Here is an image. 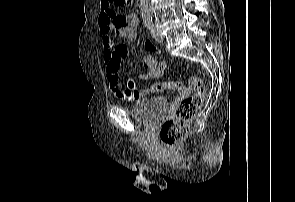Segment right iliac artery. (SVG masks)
<instances>
[{
  "label": "right iliac artery",
  "mask_w": 295,
  "mask_h": 202,
  "mask_svg": "<svg viewBox=\"0 0 295 202\" xmlns=\"http://www.w3.org/2000/svg\"><path fill=\"white\" fill-rule=\"evenodd\" d=\"M145 26L150 30L151 29V24L149 22L145 23Z\"/></svg>",
  "instance_id": "1"
}]
</instances>
